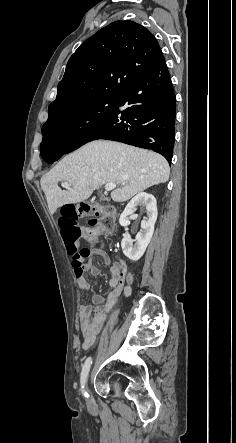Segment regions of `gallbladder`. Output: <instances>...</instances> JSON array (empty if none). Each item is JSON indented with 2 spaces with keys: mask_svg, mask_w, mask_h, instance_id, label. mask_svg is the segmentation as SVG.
<instances>
[{
  "mask_svg": "<svg viewBox=\"0 0 236 443\" xmlns=\"http://www.w3.org/2000/svg\"><path fill=\"white\" fill-rule=\"evenodd\" d=\"M100 199H101V200H104V197H101Z\"/></svg>",
  "mask_w": 236,
  "mask_h": 443,
  "instance_id": "1",
  "label": "gallbladder"
}]
</instances>
